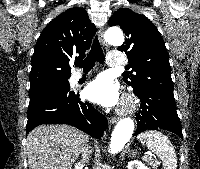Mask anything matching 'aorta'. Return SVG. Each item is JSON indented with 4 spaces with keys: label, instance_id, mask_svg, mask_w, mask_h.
<instances>
[{
    "label": "aorta",
    "instance_id": "762f6f07",
    "mask_svg": "<svg viewBox=\"0 0 200 169\" xmlns=\"http://www.w3.org/2000/svg\"><path fill=\"white\" fill-rule=\"evenodd\" d=\"M105 40L110 45L121 46L124 42V36L119 29H109L105 33ZM134 127L135 124L131 118H123L117 123L112 132L110 141V151L112 154H116L123 149L125 144L132 137Z\"/></svg>",
    "mask_w": 200,
    "mask_h": 169
}]
</instances>
